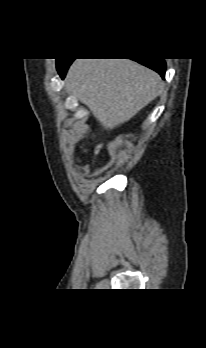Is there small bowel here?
<instances>
[{"mask_svg":"<svg viewBox=\"0 0 206 348\" xmlns=\"http://www.w3.org/2000/svg\"><path fill=\"white\" fill-rule=\"evenodd\" d=\"M84 170H85V171H87V170H88V168H87V167H85V168H84Z\"/></svg>","mask_w":206,"mask_h":348,"instance_id":"small-bowel-1","label":"small bowel"}]
</instances>
